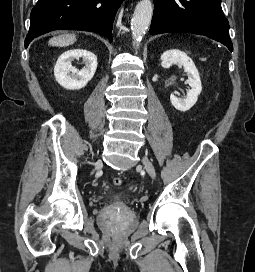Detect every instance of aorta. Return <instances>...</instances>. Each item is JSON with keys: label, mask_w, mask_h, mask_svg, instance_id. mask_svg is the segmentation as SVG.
<instances>
[{"label": "aorta", "mask_w": 255, "mask_h": 272, "mask_svg": "<svg viewBox=\"0 0 255 272\" xmlns=\"http://www.w3.org/2000/svg\"><path fill=\"white\" fill-rule=\"evenodd\" d=\"M153 14V7L150 0H141L135 8L131 19L132 38L134 43L141 41L145 35Z\"/></svg>", "instance_id": "1"}]
</instances>
